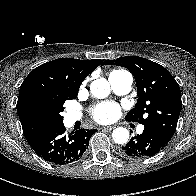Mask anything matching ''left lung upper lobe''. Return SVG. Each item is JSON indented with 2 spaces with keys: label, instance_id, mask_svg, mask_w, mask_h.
Returning a JSON list of instances; mask_svg holds the SVG:
<instances>
[{
  "label": "left lung upper lobe",
  "instance_id": "left-lung-upper-lobe-1",
  "mask_svg": "<svg viewBox=\"0 0 196 196\" xmlns=\"http://www.w3.org/2000/svg\"><path fill=\"white\" fill-rule=\"evenodd\" d=\"M103 65L123 66L135 78L138 101L125 119L155 126L172 138L182 101L180 87L170 72L158 63L138 56L105 60Z\"/></svg>",
  "mask_w": 196,
  "mask_h": 196
}]
</instances>
